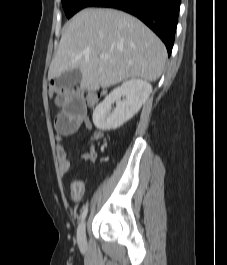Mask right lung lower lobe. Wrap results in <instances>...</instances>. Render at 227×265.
<instances>
[{
  "instance_id": "98d812e1",
  "label": "right lung lower lobe",
  "mask_w": 227,
  "mask_h": 265,
  "mask_svg": "<svg viewBox=\"0 0 227 265\" xmlns=\"http://www.w3.org/2000/svg\"><path fill=\"white\" fill-rule=\"evenodd\" d=\"M181 0H93L88 7H111L126 11L151 28L166 45L170 56Z\"/></svg>"
}]
</instances>
